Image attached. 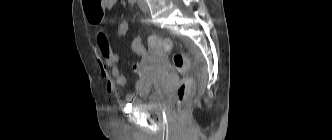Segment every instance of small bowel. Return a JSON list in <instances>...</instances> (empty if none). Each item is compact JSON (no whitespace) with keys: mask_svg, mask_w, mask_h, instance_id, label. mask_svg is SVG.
Masks as SVG:
<instances>
[{"mask_svg":"<svg viewBox=\"0 0 332 140\" xmlns=\"http://www.w3.org/2000/svg\"><path fill=\"white\" fill-rule=\"evenodd\" d=\"M118 0H104L103 11L109 12L117 4ZM92 24H98V22L89 19ZM131 49L137 55H145L147 50L143 44L142 38L140 36L135 37L131 42ZM94 54L96 63L100 69L103 79L106 81V89L108 93L118 94V87H125L127 85V79L125 75L118 68L119 55L112 48L109 37L105 31L99 29L94 45ZM134 72L137 75V81L134 86L135 93L144 97L151 91V84L144 74L142 66L140 64H135ZM127 102L134 100L132 94H128L125 97Z\"/></svg>","mask_w":332,"mask_h":140,"instance_id":"obj_1","label":"small bowel"}]
</instances>
